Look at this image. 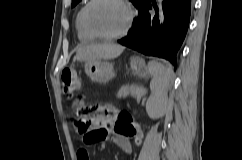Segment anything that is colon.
<instances>
[{"instance_id":"1","label":"colon","mask_w":242,"mask_h":160,"mask_svg":"<svg viewBox=\"0 0 242 160\" xmlns=\"http://www.w3.org/2000/svg\"><path fill=\"white\" fill-rule=\"evenodd\" d=\"M61 81L62 92L65 97H72L81 88V81L71 68L62 71ZM79 112L81 118L76 121V127L79 132L84 134V142L92 144L103 139L106 136V131L93 129L92 127V121L99 117L95 109L84 106L79 108ZM114 129L125 134L134 133L135 126L131 115L126 112L119 113L114 123Z\"/></svg>"}]
</instances>
